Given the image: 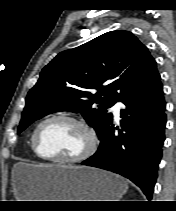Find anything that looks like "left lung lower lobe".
<instances>
[{
	"label": "left lung lower lobe",
	"instance_id": "left-lung-lower-lobe-1",
	"mask_svg": "<svg viewBox=\"0 0 176 211\" xmlns=\"http://www.w3.org/2000/svg\"><path fill=\"white\" fill-rule=\"evenodd\" d=\"M122 103L126 109L121 110V130L111 121L98 151L82 165L118 173L151 199L165 140L166 103L160 77Z\"/></svg>",
	"mask_w": 176,
	"mask_h": 211
}]
</instances>
